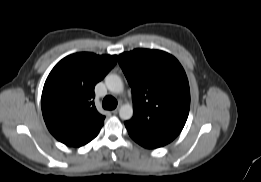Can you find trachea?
Instances as JSON below:
<instances>
[{
    "mask_svg": "<svg viewBox=\"0 0 261 182\" xmlns=\"http://www.w3.org/2000/svg\"><path fill=\"white\" fill-rule=\"evenodd\" d=\"M102 106L107 110L115 109L117 106V100L114 97L108 95L103 99Z\"/></svg>",
    "mask_w": 261,
    "mask_h": 182,
    "instance_id": "obj_1",
    "label": "trachea"
}]
</instances>
